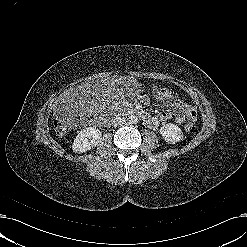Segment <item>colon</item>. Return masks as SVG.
Wrapping results in <instances>:
<instances>
[{"label": "colon", "mask_w": 247, "mask_h": 247, "mask_svg": "<svg viewBox=\"0 0 247 247\" xmlns=\"http://www.w3.org/2000/svg\"><path fill=\"white\" fill-rule=\"evenodd\" d=\"M150 94L154 100L159 101V102L166 100V98L168 96L166 89H164L163 87H161L159 85L152 87ZM71 116H74V115L73 114L65 115L62 118H60L54 122V130L57 134L64 135L66 133V130H67L66 122H67L68 118ZM194 121L195 120H189L186 123L185 129L187 131H190L193 129Z\"/></svg>", "instance_id": "obj_1"}]
</instances>
